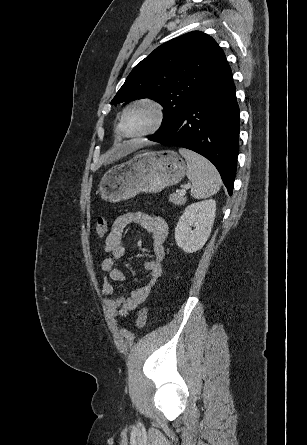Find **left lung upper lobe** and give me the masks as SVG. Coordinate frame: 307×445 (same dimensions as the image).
Masks as SVG:
<instances>
[{"mask_svg":"<svg viewBox=\"0 0 307 445\" xmlns=\"http://www.w3.org/2000/svg\"><path fill=\"white\" fill-rule=\"evenodd\" d=\"M230 70L215 40L200 31H192L162 44L137 64L111 104L140 98L157 101L164 108V119L157 134L166 130Z\"/></svg>","mask_w":307,"mask_h":445,"instance_id":"left-lung-upper-lobe-1","label":"left lung upper lobe"}]
</instances>
